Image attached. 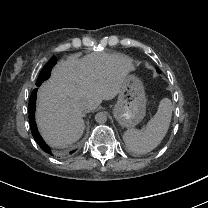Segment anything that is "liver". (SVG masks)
Returning <instances> with one entry per match:
<instances>
[{"label":"liver","mask_w":208,"mask_h":208,"mask_svg":"<svg viewBox=\"0 0 208 208\" xmlns=\"http://www.w3.org/2000/svg\"><path fill=\"white\" fill-rule=\"evenodd\" d=\"M132 61L123 54L95 52L61 60L38 91L36 122L45 141L58 148L78 141L85 128L82 111L113 99L134 70Z\"/></svg>","instance_id":"obj_1"}]
</instances>
